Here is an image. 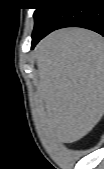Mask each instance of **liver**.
<instances>
[{
  "label": "liver",
  "mask_w": 104,
  "mask_h": 169,
  "mask_svg": "<svg viewBox=\"0 0 104 169\" xmlns=\"http://www.w3.org/2000/svg\"><path fill=\"white\" fill-rule=\"evenodd\" d=\"M45 106V132L73 143L86 136L104 113V39L83 28L61 29L35 48Z\"/></svg>",
  "instance_id": "1"
}]
</instances>
